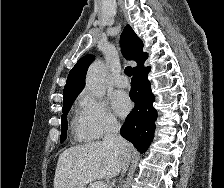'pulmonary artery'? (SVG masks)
Returning <instances> with one entry per match:
<instances>
[{"instance_id": "e3ab8cb5", "label": "pulmonary artery", "mask_w": 224, "mask_h": 188, "mask_svg": "<svg viewBox=\"0 0 224 188\" xmlns=\"http://www.w3.org/2000/svg\"><path fill=\"white\" fill-rule=\"evenodd\" d=\"M115 85L117 87L125 88L129 85V80L124 75L118 76L115 80Z\"/></svg>"}]
</instances>
